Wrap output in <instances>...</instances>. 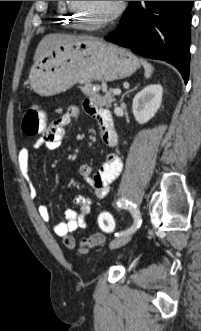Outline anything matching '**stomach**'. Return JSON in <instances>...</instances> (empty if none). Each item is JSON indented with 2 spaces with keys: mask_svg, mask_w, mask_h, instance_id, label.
<instances>
[{
  "mask_svg": "<svg viewBox=\"0 0 201 331\" xmlns=\"http://www.w3.org/2000/svg\"><path fill=\"white\" fill-rule=\"evenodd\" d=\"M139 59L102 39L62 43L40 56L30 70V84L41 96H52L76 83L113 81L133 74Z\"/></svg>",
  "mask_w": 201,
  "mask_h": 331,
  "instance_id": "obj_1",
  "label": "stomach"
}]
</instances>
